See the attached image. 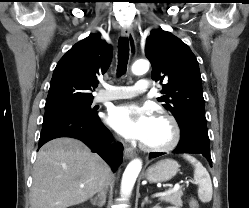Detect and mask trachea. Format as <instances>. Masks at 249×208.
Masks as SVG:
<instances>
[{
	"label": "trachea",
	"instance_id": "trachea-1",
	"mask_svg": "<svg viewBox=\"0 0 249 208\" xmlns=\"http://www.w3.org/2000/svg\"><path fill=\"white\" fill-rule=\"evenodd\" d=\"M129 58V42L127 38H120L118 42V76L123 75L127 69V63Z\"/></svg>",
	"mask_w": 249,
	"mask_h": 208
}]
</instances>
